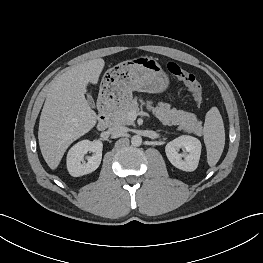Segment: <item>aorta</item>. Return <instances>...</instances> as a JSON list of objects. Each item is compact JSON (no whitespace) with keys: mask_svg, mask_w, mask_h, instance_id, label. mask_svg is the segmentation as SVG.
<instances>
[{"mask_svg":"<svg viewBox=\"0 0 263 263\" xmlns=\"http://www.w3.org/2000/svg\"><path fill=\"white\" fill-rule=\"evenodd\" d=\"M131 144L135 147H138L142 144V138L139 135H134L131 138Z\"/></svg>","mask_w":263,"mask_h":263,"instance_id":"1","label":"aorta"}]
</instances>
